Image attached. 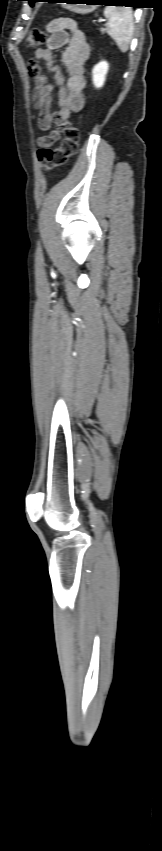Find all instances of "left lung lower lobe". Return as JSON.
<instances>
[{
	"label": "left lung lower lobe",
	"instance_id": "obj_1",
	"mask_svg": "<svg viewBox=\"0 0 162 851\" xmlns=\"http://www.w3.org/2000/svg\"><path fill=\"white\" fill-rule=\"evenodd\" d=\"M40 1V0H37ZM46 2H56L57 0H43ZM99 2L105 3V5H117V6H129V4H134L135 0H99Z\"/></svg>",
	"mask_w": 162,
	"mask_h": 851
}]
</instances>
